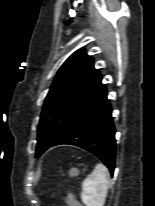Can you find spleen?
<instances>
[{
  "instance_id": "3e777b00",
  "label": "spleen",
  "mask_w": 155,
  "mask_h": 206,
  "mask_svg": "<svg viewBox=\"0 0 155 206\" xmlns=\"http://www.w3.org/2000/svg\"><path fill=\"white\" fill-rule=\"evenodd\" d=\"M107 168L99 163L82 183L81 200L86 206H104L109 187Z\"/></svg>"
}]
</instances>
